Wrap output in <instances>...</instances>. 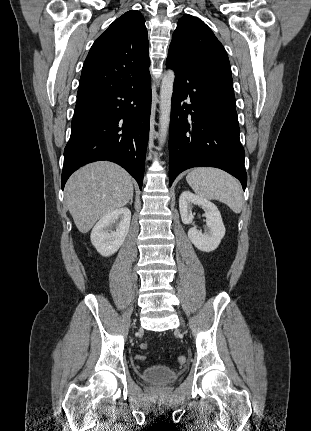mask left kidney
<instances>
[{
    "mask_svg": "<svg viewBox=\"0 0 311 431\" xmlns=\"http://www.w3.org/2000/svg\"><path fill=\"white\" fill-rule=\"evenodd\" d=\"M193 206H199L204 210L207 231L202 233L197 227H190L188 237L201 251H213L218 247L226 231L221 214L217 206L209 200L195 196L192 192H182L179 198V212L183 223H192L195 216L192 214Z\"/></svg>",
    "mask_w": 311,
    "mask_h": 431,
    "instance_id": "left-kidney-1",
    "label": "left kidney"
}]
</instances>
